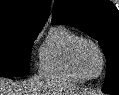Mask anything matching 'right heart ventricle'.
Returning a JSON list of instances; mask_svg holds the SVG:
<instances>
[{
    "label": "right heart ventricle",
    "instance_id": "right-heart-ventricle-1",
    "mask_svg": "<svg viewBox=\"0 0 119 95\" xmlns=\"http://www.w3.org/2000/svg\"><path fill=\"white\" fill-rule=\"evenodd\" d=\"M80 35L64 25L50 28L48 35L39 50V72L47 77L73 82H83L73 69L70 53Z\"/></svg>",
    "mask_w": 119,
    "mask_h": 95
}]
</instances>
